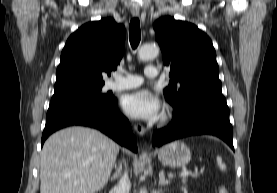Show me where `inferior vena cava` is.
Instances as JSON below:
<instances>
[{
    "mask_svg": "<svg viewBox=\"0 0 277 193\" xmlns=\"http://www.w3.org/2000/svg\"><path fill=\"white\" fill-rule=\"evenodd\" d=\"M131 184L128 178V173L125 171L120 181L115 186V193H129Z\"/></svg>",
    "mask_w": 277,
    "mask_h": 193,
    "instance_id": "obj_1",
    "label": "inferior vena cava"
}]
</instances>
